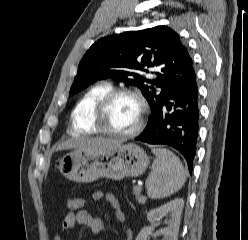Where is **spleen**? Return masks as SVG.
<instances>
[{
	"mask_svg": "<svg viewBox=\"0 0 248 240\" xmlns=\"http://www.w3.org/2000/svg\"><path fill=\"white\" fill-rule=\"evenodd\" d=\"M152 152L156 158L145 185L147 195L151 199H161L176 193L183 187L186 173L179 158L168 149L153 147Z\"/></svg>",
	"mask_w": 248,
	"mask_h": 240,
	"instance_id": "1",
	"label": "spleen"
}]
</instances>
